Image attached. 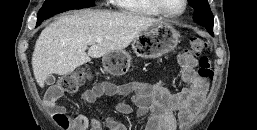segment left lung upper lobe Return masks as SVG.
I'll use <instances>...</instances> for the list:
<instances>
[{
  "instance_id": "1",
  "label": "left lung upper lobe",
  "mask_w": 257,
  "mask_h": 130,
  "mask_svg": "<svg viewBox=\"0 0 257 130\" xmlns=\"http://www.w3.org/2000/svg\"><path fill=\"white\" fill-rule=\"evenodd\" d=\"M194 8L193 20L206 27L210 34H213L214 18L207 0H189Z\"/></svg>"
}]
</instances>
